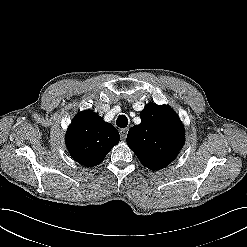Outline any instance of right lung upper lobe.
Returning a JSON list of instances; mask_svg holds the SVG:
<instances>
[{"mask_svg": "<svg viewBox=\"0 0 247 247\" xmlns=\"http://www.w3.org/2000/svg\"><path fill=\"white\" fill-rule=\"evenodd\" d=\"M65 139L71 157L79 164L91 167L100 164L119 142V133L95 112L85 110L73 119Z\"/></svg>", "mask_w": 247, "mask_h": 247, "instance_id": "cb5924a9", "label": "right lung upper lobe"}]
</instances>
